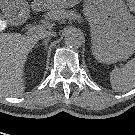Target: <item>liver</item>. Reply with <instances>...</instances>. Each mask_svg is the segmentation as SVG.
<instances>
[{"label":"liver","instance_id":"6515ba94","mask_svg":"<svg viewBox=\"0 0 135 135\" xmlns=\"http://www.w3.org/2000/svg\"><path fill=\"white\" fill-rule=\"evenodd\" d=\"M6 23L0 20V30ZM22 36L0 33V96L18 97L24 92V65L28 54L38 42L39 34Z\"/></svg>","mask_w":135,"mask_h":135}]
</instances>
